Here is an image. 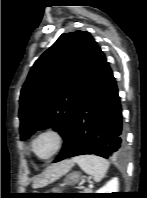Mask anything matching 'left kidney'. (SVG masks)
I'll return each instance as SVG.
<instances>
[{"instance_id":"5707ae66","label":"left kidney","mask_w":147,"mask_h":198,"mask_svg":"<svg viewBox=\"0 0 147 198\" xmlns=\"http://www.w3.org/2000/svg\"><path fill=\"white\" fill-rule=\"evenodd\" d=\"M119 189V181L118 178H113L109 182H107L103 187L98 189L95 193H112L118 192Z\"/></svg>"}]
</instances>
